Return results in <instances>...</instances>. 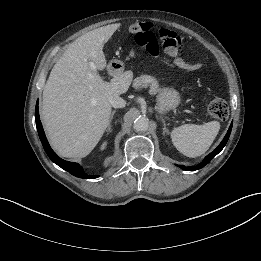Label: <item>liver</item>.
<instances>
[{"label":"liver","instance_id":"obj_1","mask_svg":"<svg viewBox=\"0 0 261 261\" xmlns=\"http://www.w3.org/2000/svg\"><path fill=\"white\" fill-rule=\"evenodd\" d=\"M112 30H92L69 45L51 70L43 90L41 117L53 148L63 157L87 156L110 124L111 97L127 92L132 73L110 82L91 70L106 67L104 43Z\"/></svg>","mask_w":261,"mask_h":261}]
</instances>
